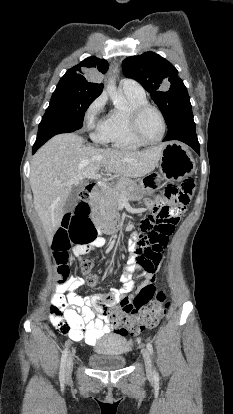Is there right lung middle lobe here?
Returning a JSON list of instances; mask_svg holds the SVG:
<instances>
[{
    "instance_id": "dd1d6c3e",
    "label": "right lung middle lobe",
    "mask_w": 233,
    "mask_h": 414,
    "mask_svg": "<svg viewBox=\"0 0 233 414\" xmlns=\"http://www.w3.org/2000/svg\"><path fill=\"white\" fill-rule=\"evenodd\" d=\"M99 95L98 92L58 83L45 114L83 124L87 108Z\"/></svg>"
}]
</instances>
